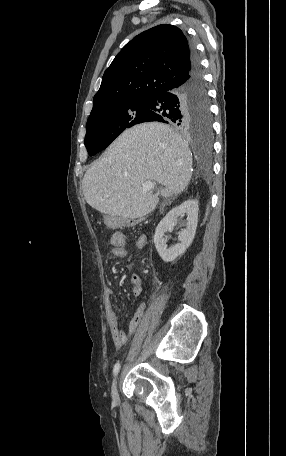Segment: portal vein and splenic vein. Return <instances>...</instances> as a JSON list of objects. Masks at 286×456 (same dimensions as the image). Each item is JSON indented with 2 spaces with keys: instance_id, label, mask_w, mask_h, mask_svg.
I'll list each match as a JSON object with an SVG mask.
<instances>
[{
  "instance_id": "1",
  "label": "portal vein and splenic vein",
  "mask_w": 286,
  "mask_h": 456,
  "mask_svg": "<svg viewBox=\"0 0 286 456\" xmlns=\"http://www.w3.org/2000/svg\"><path fill=\"white\" fill-rule=\"evenodd\" d=\"M156 186V183L155 182H152V181H146L142 184V190L143 192H149L151 191L152 189H154Z\"/></svg>"
}]
</instances>
